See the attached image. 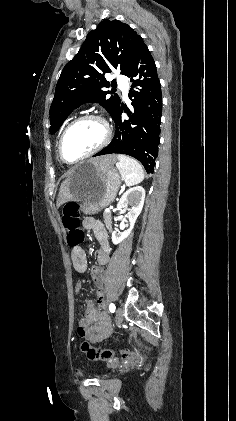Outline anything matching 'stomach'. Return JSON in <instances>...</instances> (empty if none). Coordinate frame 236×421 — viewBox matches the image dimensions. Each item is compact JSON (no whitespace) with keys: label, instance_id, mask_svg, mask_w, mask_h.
I'll return each mask as SVG.
<instances>
[{"label":"stomach","instance_id":"obj_1","mask_svg":"<svg viewBox=\"0 0 236 421\" xmlns=\"http://www.w3.org/2000/svg\"><path fill=\"white\" fill-rule=\"evenodd\" d=\"M73 200H79L84 215H95L113 202L121 184L115 166H99L91 158L74 166L70 174Z\"/></svg>","mask_w":236,"mask_h":421}]
</instances>
